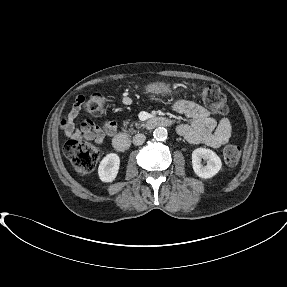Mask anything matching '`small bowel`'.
<instances>
[{
	"mask_svg": "<svg viewBox=\"0 0 287 287\" xmlns=\"http://www.w3.org/2000/svg\"><path fill=\"white\" fill-rule=\"evenodd\" d=\"M172 107L174 111L191 118V123L178 126V133L190 143L220 148L229 141L232 128L228 118L217 120L203 106L185 99L175 101ZM80 111L81 107L76 102L62 117L61 125L68 135L82 136L98 144H104L107 137L116 135L117 124L114 121H107L101 126L91 121L78 125L77 118Z\"/></svg>",
	"mask_w": 287,
	"mask_h": 287,
	"instance_id": "c3829d8e",
	"label": "small bowel"
}]
</instances>
